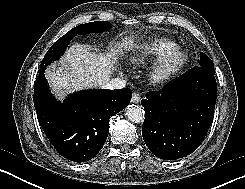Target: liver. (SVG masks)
<instances>
[{
  "label": "liver",
  "instance_id": "obj_1",
  "mask_svg": "<svg viewBox=\"0 0 245 189\" xmlns=\"http://www.w3.org/2000/svg\"><path fill=\"white\" fill-rule=\"evenodd\" d=\"M134 38L122 40L121 43L110 45L108 52L98 54L92 52L88 47L81 44L71 45L62 60L56 65H60L55 71L47 70L46 76L52 86L53 91L60 100L65 94L92 87H104L110 80V75L114 70L118 52L122 48L130 49L134 45Z\"/></svg>",
  "mask_w": 245,
  "mask_h": 189
}]
</instances>
